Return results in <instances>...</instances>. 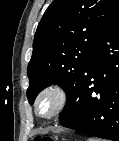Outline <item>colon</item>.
<instances>
[{"label": "colon", "mask_w": 119, "mask_h": 141, "mask_svg": "<svg viewBox=\"0 0 119 141\" xmlns=\"http://www.w3.org/2000/svg\"><path fill=\"white\" fill-rule=\"evenodd\" d=\"M37 141H54L51 137H38Z\"/></svg>", "instance_id": "colon-1"}]
</instances>
